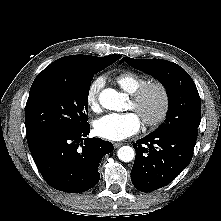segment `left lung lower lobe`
<instances>
[{"mask_svg": "<svg viewBox=\"0 0 221 221\" xmlns=\"http://www.w3.org/2000/svg\"><path fill=\"white\" fill-rule=\"evenodd\" d=\"M197 137L182 133H151L136 141L131 170L133 185L151 192L169 184L192 160Z\"/></svg>", "mask_w": 221, "mask_h": 221, "instance_id": "0a47b994", "label": "left lung lower lobe"}]
</instances>
